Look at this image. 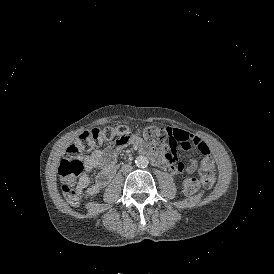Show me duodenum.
Listing matches in <instances>:
<instances>
[{"instance_id": "obj_1", "label": "duodenum", "mask_w": 274, "mask_h": 274, "mask_svg": "<svg viewBox=\"0 0 274 274\" xmlns=\"http://www.w3.org/2000/svg\"><path fill=\"white\" fill-rule=\"evenodd\" d=\"M142 154H145L151 157V153L149 151H144Z\"/></svg>"}]
</instances>
